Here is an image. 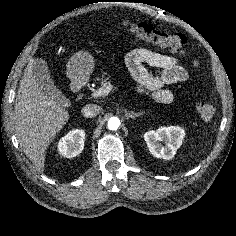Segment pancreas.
Masks as SVG:
<instances>
[{
  "mask_svg": "<svg viewBox=\"0 0 236 236\" xmlns=\"http://www.w3.org/2000/svg\"><path fill=\"white\" fill-rule=\"evenodd\" d=\"M109 78L110 76L106 72H102L101 77H97L96 81L100 82L101 86H103Z\"/></svg>",
  "mask_w": 236,
  "mask_h": 236,
  "instance_id": "1",
  "label": "pancreas"
}]
</instances>
